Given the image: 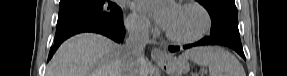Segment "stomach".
<instances>
[{"label":"stomach","instance_id":"obj_1","mask_svg":"<svg viewBox=\"0 0 287 76\" xmlns=\"http://www.w3.org/2000/svg\"><path fill=\"white\" fill-rule=\"evenodd\" d=\"M157 64L165 70L168 76H184L190 69L186 59L174 56H169L164 61H157Z\"/></svg>","mask_w":287,"mask_h":76}]
</instances>
